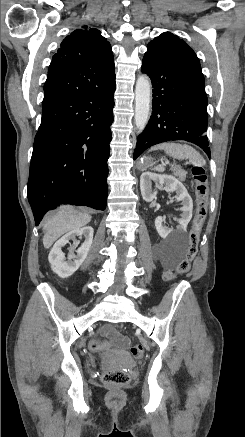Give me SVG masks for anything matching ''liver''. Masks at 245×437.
<instances>
[{
    "label": "liver",
    "instance_id": "obj_1",
    "mask_svg": "<svg viewBox=\"0 0 245 437\" xmlns=\"http://www.w3.org/2000/svg\"><path fill=\"white\" fill-rule=\"evenodd\" d=\"M91 221V215L74 210L70 206L60 207L44 226L43 245L50 248L63 234L81 228Z\"/></svg>",
    "mask_w": 245,
    "mask_h": 437
}]
</instances>
